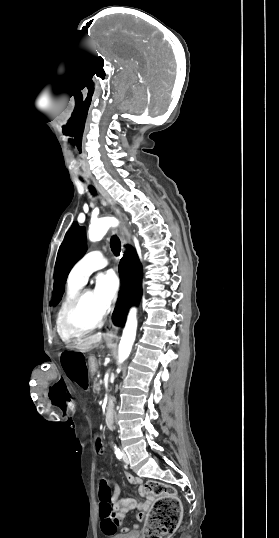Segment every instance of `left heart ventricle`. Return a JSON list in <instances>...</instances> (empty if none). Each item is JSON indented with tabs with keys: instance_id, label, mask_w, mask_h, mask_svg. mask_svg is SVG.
I'll list each match as a JSON object with an SVG mask.
<instances>
[{
	"instance_id": "b2bd125f",
	"label": "left heart ventricle",
	"mask_w": 279,
	"mask_h": 538,
	"mask_svg": "<svg viewBox=\"0 0 279 538\" xmlns=\"http://www.w3.org/2000/svg\"><path fill=\"white\" fill-rule=\"evenodd\" d=\"M104 311L97 299L95 291H89L82 306L75 312L74 321L78 326H88L94 323Z\"/></svg>"
}]
</instances>
